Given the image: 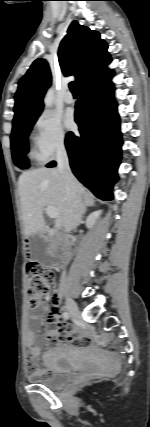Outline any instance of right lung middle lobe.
Returning a JSON list of instances; mask_svg holds the SVG:
<instances>
[{
    "mask_svg": "<svg viewBox=\"0 0 150 427\" xmlns=\"http://www.w3.org/2000/svg\"><path fill=\"white\" fill-rule=\"evenodd\" d=\"M39 115L40 113L13 123L11 134L12 157L15 165L19 168L24 169L29 166L25 157L29 149L27 138Z\"/></svg>",
    "mask_w": 150,
    "mask_h": 427,
    "instance_id": "1",
    "label": "right lung middle lobe"
}]
</instances>
